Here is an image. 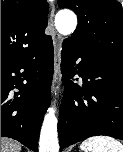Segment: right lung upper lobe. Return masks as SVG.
Listing matches in <instances>:
<instances>
[{
    "label": "right lung upper lobe",
    "mask_w": 123,
    "mask_h": 152,
    "mask_svg": "<svg viewBox=\"0 0 123 152\" xmlns=\"http://www.w3.org/2000/svg\"><path fill=\"white\" fill-rule=\"evenodd\" d=\"M46 0H1V62L18 61L50 37Z\"/></svg>",
    "instance_id": "1"
}]
</instances>
